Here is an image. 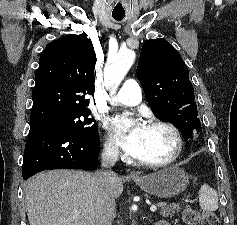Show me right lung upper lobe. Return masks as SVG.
I'll return each mask as SVG.
<instances>
[{
	"label": "right lung upper lobe",
	"mask_w": 237,
	"mask_h": 225,
	"mask_svg": "<svg viewBox=\"0 0 237 225\" xmlns=\"http://www.w3.org/2000/svg\"><path fill=\"white\" fill-rule=\"evenodd\" d=\"M96 56L84 35H67L43 50L35 75L31 122L85 110L92 95Z\"/></svg>",
	"instance_id": "right-lung-upper-lobe-1"
}]
</instances>
